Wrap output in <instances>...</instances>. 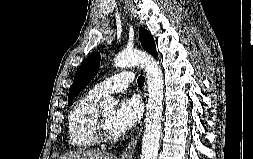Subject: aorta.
Listing matches in <instances>:
<instances>
[{"label":"aorta","mask_w":253,"mask_h":159,"mask_svg":"<svg viewBox=\"0 0 253 159\" xmlns=\"http://www.w3.org/2000/svg\"><path fill=\"white\" fill-rule=\"evenodd\" d=\"M116 66L125 68L141 66L147 73L148 101L146 106L145 130L142 138L141 159H157L163 113L164 82L156 61L138 50H124L114 59ZM117 100L110 98L100 102L103 109L114 108Z\"/></svg>","instance_id":"obj_1"}]
</instances>
